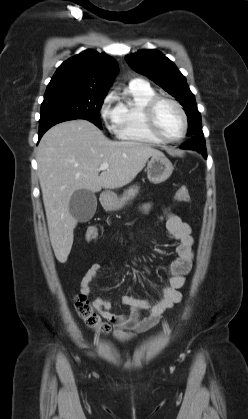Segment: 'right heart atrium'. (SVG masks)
Listing matches in <instances>:
<instances>
[{"instance_id":"right-heart-atrium-1","label":"right heart atrium","mask_w":248,"mask_h":419,"mask_svg":"<svg viewBox=\"0 0 248 419\" xmlns=\"http://www.w3.org/2000/svg\"><path fill=\"white\" fill-rule=\"evenodd\" d=\"M116 95L110 92L103 99L100 106V116L107 129L112 132H116L118 127V105L116 104Z\"/></svg>"}]
</instances>
